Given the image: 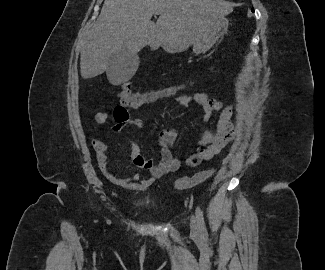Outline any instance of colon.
<instances>
[{"instance_id":"5ec220e1","label":"colon","mask_w":325,"mask_h":270,"mask_svg":"<svg viewBox=\"0 0 325 270\" xmlns=\"http://www.w3.org/2000/svg\"><path fill=\"white\" fill-rule=\"evenodd\" d=\"M195 80L196 77H192L175 85L136 93L132 92V85L129 82H125L122 84L119 93L120 101L122 104L131 107H141L154 104L181 95L184 90L194 85ZM213 174V169L200 171L193 176H186L178 179L174 186L177 190L189 189L206 181Z\"/></svg>"}]
</instances>
